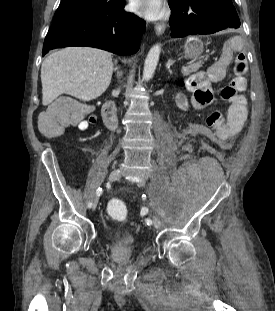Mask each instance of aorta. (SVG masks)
<instances>
[{
	"label": "aorta",
	"instance_id": "aorta-1",
	"mask_svg": "<svg viewBox=\"0 0 275 311\" xmlns=\"http://www.w3.org/2000/svg\"><path fill=\"white\" fill-rule=\"evenodd\" d=\"M160 52H161L160 45H154L150 49L144 63V70H143L144 81H149L153 77V74L159 61Z\"/></svg>",
	"mask_w": 275,
	"mask_h": 311
}]
</instances>
